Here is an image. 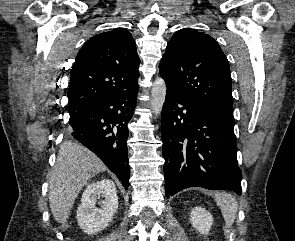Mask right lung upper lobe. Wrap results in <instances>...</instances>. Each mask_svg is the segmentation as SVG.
<instances>
[{
  "mask_svg": "<svg viewBox=\"0 0 295 241\" xmlns=\"http://www.w3.org/2000/svg\"><path fill=\"white\" fill-rule=\"evenodd\" d=\"M139 64L135 41L126 29L90 38L70 72L68 111L93 98L131 89L137 84Z\"/></svg>",
  "mask_w": 295,
  "mask_h": 241,
  "instance_id": "1",
  "label": "right lung upper lobe"
}]
</instances>
